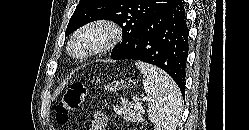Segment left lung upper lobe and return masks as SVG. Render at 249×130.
Here are the masks:
<instances>
[{
    "label": "left lung upper lobe",
    "mask_w": 249,
    "mask_h": 130,
    "mask_svg": "<svg viewBox=\"0 0 249 130\" xmlns=\"http://www.w3.org/2000/svg\"><path fill=\"white\" fill-rule=\"evenodd\" d=\"M172 0H80L65 35L68 36L86 23L96 20H112L123 32V40L111 53L113 57L127 46L141 27L158 12L164 10Z\"/></svg>",
    "instance_id": "left-lung-upper-lobe-1"
}]
</instances>
